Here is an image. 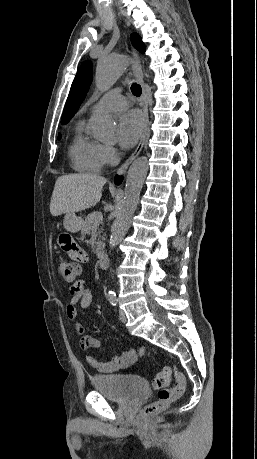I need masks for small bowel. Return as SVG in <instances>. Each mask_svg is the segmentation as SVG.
Returning a JSON list of instances; mask_svg holds the SVG:
<instances>
[{
  "mask_svg": "<svg viewBox=\"0 0 257 459\" xmlns=\"http://www.w3.org/2000/svg\"><path fill=\"white\" fill-rule=\"evenodd\" d=\"M58 247L68 258L69 264H88L89 256L87 250L80 245L78 239H74L69 231H64L63 235L57 236ZM69 301L66 306V316L72 322L74 330L80 336L79 347L81 350L89 348H99L101 343L95 337L85 333V329L78 319V306L86 309L92 302V294L89 286L84 280L76 281L68 291ZM145 349H129L123 355L114 357L110 360H100L95 355H87V363L95 370L102 373H110L121 368H126L135 363L144 355Z\"/></svg>",
  "mask_w": 257,
  "mask_h": 459,
  "instance_id": "small-bowel-1",
  "label": "small bowel"
}]
</instances>
